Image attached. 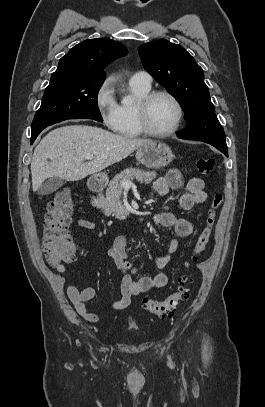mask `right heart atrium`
Returning a JSON list of instances; mask_svg holds the SVG:
<instances>
[{
	"label": "right heart atrium",
	"instance_id": "d8ad5b80",
	"mask_svg": "<svg viewBox=\"0 0 265 407\" xmlns=\"http://www.w3.org/2000/svg\"><path fill=\"white\" fill-rule=\"evenodd\" d=\"M96 109L104 125L109 129H115L118 123V108L112 85L109 80L104 81L96 90L94 96Z\"/></svg>",
	"mask_w": 265,
	"mask_h": 407
}]
</instances>
